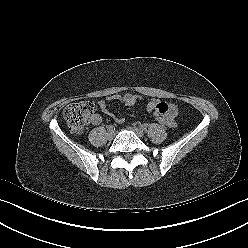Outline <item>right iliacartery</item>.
I'll return each instance as SVG.
<instances>
[{
    "mask_svg": "<svg viewBox=\"0 0 248 248\" xmlns=\"http://www.w3.org/2000/svg\"><path fill=\"white\" fill-rule=\"evenodd\" d=\"M107 129H108L109 131H114V130H115V127H114V125H108V126H107Z\"/></svg>",
    "mask_w": 248,
    "mask_h": 248,
    "instance_id": "82829eb1",
    "label": "right iliac artery"
}]
</instances>
